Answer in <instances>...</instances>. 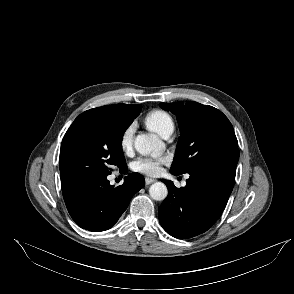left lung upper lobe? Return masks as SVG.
<instances>
[{
	"instance_id": "5c2ea615",
	"label": "left lung upper lobe",
	"mask_w": 294,
	"mask_h": 294,
	"mask_svg": "<svg viewBox=\"0 0 294 294\" xmlns=\"http://www.w3.org/2000/svg\"><path fill=\"white\" fill-rule=\"evenodd\" d=\"M159 105L176 115L181 132L172 174L193 173L213 157L238 149L232 124L218 109L197 102Z\"/></svg>"
}]
</instances>
